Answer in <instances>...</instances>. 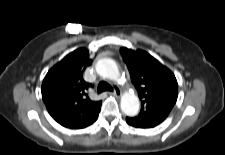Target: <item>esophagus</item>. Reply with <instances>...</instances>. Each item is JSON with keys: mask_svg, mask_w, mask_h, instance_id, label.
<instances>
[{"mask_svg": "<svg viewBox=\"0 0 225 155\" xmlns=\"http://www.w3.org/2000/svg\"><path fill=\"white\" fill-rule=\"evenodd\" d=\"M110 94L120 97L121 96V90L119 88H115L113 92H110Z\"/></svg>", "mask_w": 225, "mask_h": 155, "instance_id": "obj_1", "label": "esophagus"}]
</instances>
